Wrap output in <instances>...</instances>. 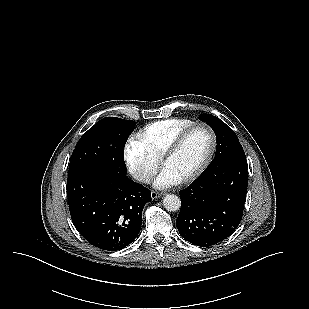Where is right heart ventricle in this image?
Returning <instances> with one entry per match:
<instances>
[{"instance_id": "e07e8e85", "label": "right heart ventricle", "mask_w": 309, "mask_h": 309, "mask_svg": "<svg viewBox=\"0 0 309 309\" xmlns=\"http://www.w3.org/2000/svg\"><path fill=\"white\" fill-rule=\"evenodd\" d=\"M194 123L190 119L172 118L153 122L145 126L137 135L139 142L149 153L161 159L172 140L186 127Z\"/></svg>"}]
</instances>
